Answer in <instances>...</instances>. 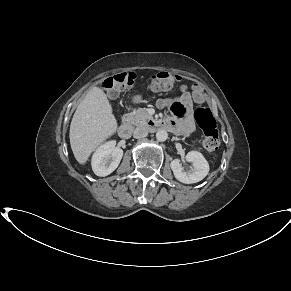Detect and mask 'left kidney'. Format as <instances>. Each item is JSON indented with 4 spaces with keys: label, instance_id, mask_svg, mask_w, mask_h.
Wrapping results in <instances>:
<instances>
[{
    "label": "left kidney",
    "instance_id": "obj_1",
    "mask_svg": "<svg viewBox=\"0 0 291 291\" xmlns=\"http://www.w3.org/2000/svg\"><path fill=\"white\" fill-rule=\"evenodd\" d=\"M186 161L192 163V168L185 170L179 159L170 163L175 178L185 184H192L201 181L209 172V164L204 156L197 151H190L186 155Z\"/></svg>",
    "mask_w": 291,
    "mask_h": 291
}]
</instances>
